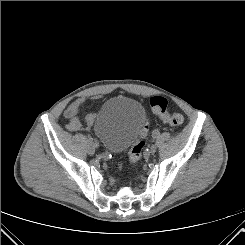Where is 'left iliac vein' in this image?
Returning <instances> with one entry per match:
<instances>
[{"mask_svg":"<svg viewBox=\"0 0 245 245\" xmlns=\"http://www.w3.org/2000/svg\"><path fill=\"white\" fill-rule=\"evenodd\" d=\"M156 150H157L156 145H152V146L150 147V153H151V154H154V153L156 152Z\"/></svg>","mask_w":245,"mask_h":245,"instance_id":"1","label":"left iliac vein"}]
</instances>
